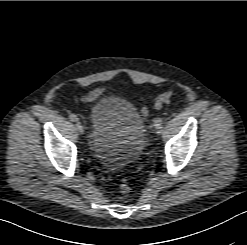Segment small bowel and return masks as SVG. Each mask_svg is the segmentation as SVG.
I'll use <instances>...</instances> for the list:
<instances>
[{
    "label": "small bowel",
    "mask_w": 247,
    "mask_h": 245,
    "mask_svg": "<svg viewBox=\"0 0 247 245\" xmlns=\"http://www.w3.org/2000/svg\"><path fill=\"white\" fill-rule=\"evenodd\" d=\"M106 91H107V88L105 86L101 85V86L94 88L93 90H91L87 94L80 96L78 98V100L81 102H92V101L97 100L101 96H103L106 93ZM141 114H142V116L147 115V108L145 106H142Z\"/></svg>",
    "instance_id": "c3829d8e"
}]
</instances>
